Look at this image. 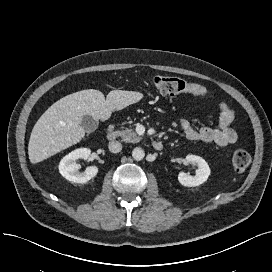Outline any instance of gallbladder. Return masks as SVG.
Returning <instances> with one entry per match:
<instances>
[{
	"instance_id": "bac80fb5",
	"label": "gallbladder",
	"mask_w": 272,
	"mask_h": 272,
	"mask_svg": "<svg viewBox=\"0 0 272 272\" xmlns=\"http://www.w3.org/2000/svg\"><path fill=\"white\" fill-rule=\"evenodd\" d=\"M98 124L99 122L89 115H84L81 121V126L87 133L95 131L98 127Z\"/></svg>"
}]
</instances>
